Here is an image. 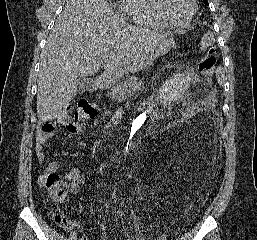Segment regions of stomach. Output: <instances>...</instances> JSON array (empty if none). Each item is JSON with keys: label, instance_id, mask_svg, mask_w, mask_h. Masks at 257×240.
<instances>
[{"label": "stomach", "instance_id": "1", "mask_svg": "<svg viewBox=\"0 0 257 240\" xmlns=\"http://www.w3.org/2000/svg\"><path fill=\"white\" fill-rule=\"evenodd\" d=\"M176 42L173 38H164L158 44L148 50L138 61H136L130 71H137L147 68L152 65L159 57L167 54L172 48H174Z\"/></svg>", "mask_w": 257, "mask_h": 240}]
</instances>
